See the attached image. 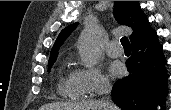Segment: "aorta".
I'll return each mask as SVG.
<instances>
[{
  "mask_svg": "<svg viewBox=\"0 0 171 110\" xmlns=\"http://www.w3.org/2000/svg\"><path fill=\"white\" fill-rule=\"evenodd\" d=\"M100 35L96 29L86 30L79 40V54L86 67L95 65L99 59Z\"/></svg>",
  "mask_w": 171,
  "mask_h": 110,
  "instance_id": "762f6f07",
  "label": "aorta"
}]
</instances>
